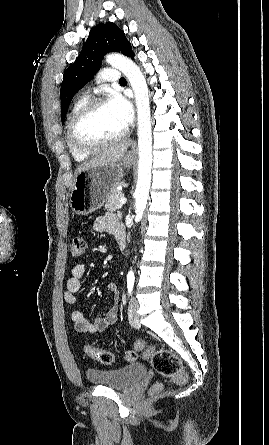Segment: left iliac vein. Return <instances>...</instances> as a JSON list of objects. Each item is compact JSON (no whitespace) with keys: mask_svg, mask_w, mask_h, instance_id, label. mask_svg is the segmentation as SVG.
I'll return each mask as SVG.
<instances>
[{"mask_svg":"<svg viewBox=\"0 0 269 445\" xmlns=\"http://www.w3.org/2000/svg\"><path fill=\"white\" fill-rule=\"evenodd\" d=\"M139 303L135 297L130 299L129 307H128V318L131 324L138 325L139 324V315H138Z\"/></svg>","mask_w":269,"mask_h":445,"instance_id":"4c4485c4","label":"left iliac vein"}]
</instances>
